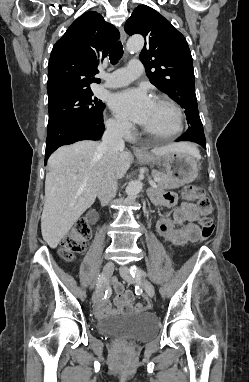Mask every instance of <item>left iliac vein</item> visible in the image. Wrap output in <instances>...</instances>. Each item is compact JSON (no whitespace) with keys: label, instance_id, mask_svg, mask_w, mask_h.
I'll list each match as a JSON object with an SVG mask.
<instances>
[{"label":"left iliac vein","instance_id":"1","mask_svg":"<svg viewBox=\"0 0 249 382\" xmlns=\"http://www.w3.org/2000/svg\"><path fill=\"white\" fill-rule=\"evenodd\" d=\"M120 275L121 277L128 283L132 284L135 282V279L132 277V275L130 274V270L128 267L126 266H123L120 268ZM140 285L142 286V288L144 289L145 293L149 296V297H153L155 295V288L153 286V284L147 280V279H141L140 280Z\"/></svg>","mask_w":249,"mask_h":382}]
</instances>
